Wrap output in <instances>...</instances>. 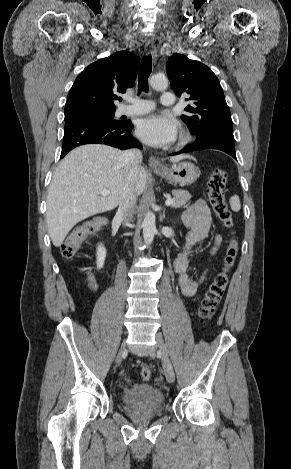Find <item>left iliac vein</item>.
<instances>
[{"label":"left iliac vein","mask_w":291,"mask_h":469,"mask_svg":"<svg viewBox=\"0 0 291 469\" xmlns=\"http://www.w3.org/2000/svg\"><path fill=\"white\" fill-rule=\"evenodd\" d=\"M156 341H157V344H158V347H159V354L162 358V361H163V368H164V374H165V377L167 379V381L169 383H173L174 380H175V373L172 369V366L170 364V361L168 359V352H167V348H166V345L163 341V338L161 336V334L157 333L156 334Z\"/></svg>","instance_id":"1"}]
</instances>
